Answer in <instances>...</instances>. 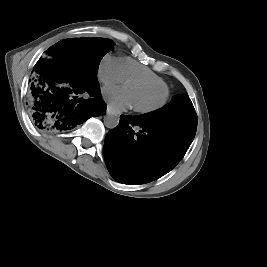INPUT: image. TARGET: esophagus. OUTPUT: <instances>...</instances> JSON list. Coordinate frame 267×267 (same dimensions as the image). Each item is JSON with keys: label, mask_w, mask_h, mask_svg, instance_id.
<instances>
[{"label": "esophagus", "mask_w": 267, "mask_h": 267, "mask_svg": "<svg viewBox=\"0 0 267 267\" xmlns=\"http://www.w3.org/2000/svg\"><path fill=\"white\" fill-rule=\"evenodd\" d=\"M110 113V112H112V108L110 107V106H107V113Z\"/></svg>", "instance_id": "esophagus-1"}]
</instances>
